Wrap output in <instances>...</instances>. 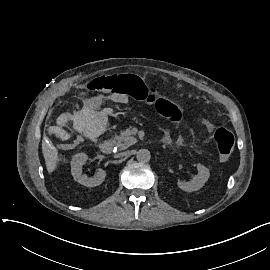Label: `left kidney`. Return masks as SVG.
<instances>
[{
	"instance_id": "obj_1",
	"label": "left kidney",
	"mask_w": 270,
	"mask_h": 270,
	"mask_svg": "<svg viewBox=\"0 0 270 270\" xmlns=\"http://www.w3.org/2000/svg\"><path fill=\"white\" fill-rule=\"evenodd\" d=\"M198 174L189 182H178L180 189L186 192L197 191L204 186L209 179L210 173L208 168L202 164H197Z\"/></svg>"
}]
</instances>
